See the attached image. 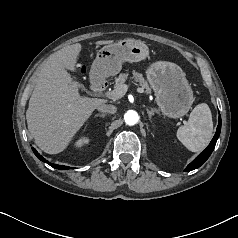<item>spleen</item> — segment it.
Masks as SVG:
<instances>
[{
    "label": "spleen",
    "instance_id": "spleen-1",
    "mask_svg": "<svg viewBox=\"0 0 238 238\" xmlns=\"http://www.w3.org/2000/svg\"><path fill=\"white\" fill-rule=\"evenodd\" d=\"M213 135V121L209 106L198 104L187 122L177 131V138L190 151L200 152L209 144Z\"/></svg>",
    "mask_w": 238,
    "mask_h": 238
}]
</instances>
